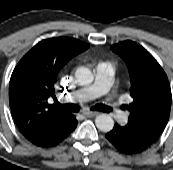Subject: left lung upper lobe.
Returning a JSON list of instances; mask_svg holds the SVG:
<instances>
[{"label":"left lung upper lobe","mask_w":173,"mask_h":170,"mask_svg":"<svg viewBox=\"0 0 173 170\" xmlns=\"http://www.w3.org/2000/svg\"><path fill=\"white\" fill-rule=\"evenodd\" d=\"M126 63L131 80L133 101L124 108L130 111L127 126L155 142L166 127L171 109V88L162 67L142 46L123 41L111 47Z\"/></svg>","instance_id":"obj_1"}]
</instances>
